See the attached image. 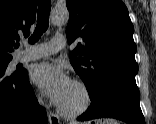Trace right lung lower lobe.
<instances>
[{
  "instance_id": "right-lung-lower-lobe-1",
  "label": "right lung lower lobe",
  "mask_w": 156,
  "mask_h": 124,
  "mask_svg": "<svg viewBox=\"0 0 156 124\" xmlns=\"http://www.w3.org/2000/svg\"><path fill=\"white\" fill-rule=\"evenodd\" d=\"M6 68L0 65V123L48 124L46 112L37 102L27 72L6 76Z\"/></svg>"
}]
</instances>
